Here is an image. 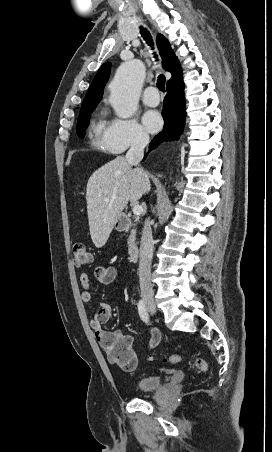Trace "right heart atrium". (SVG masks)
Masks as SVG:
<instances>
[{"label": "right heart atrium", "mask_w": 272, "mask_h": 452, "mask_svg": "<svg viewBox=\"0 0 272 452\" xmlns=\"http://www.w3.org/2000/svg\"><path fill=\"white\" fill-rule=\"evenodd\" d=\"M149 140L148 134L135 119H114L105 136V148L121 153L131 147H142Z\"/></svg>", "instance_id": "1"}]
</instances>
